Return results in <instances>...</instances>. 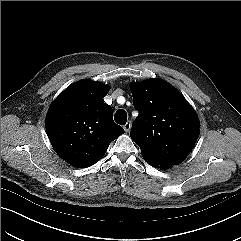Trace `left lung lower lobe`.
<instances>
[{"mask_svg": "<svg viewBox=\"0 0 241 241\" xmlns=\"http://www.w3.org/2000/svg\"><path fill=\"white\" fill-rule=\"evenodd\" d=\"M147 162H149V164L155 168H160V169H167V168H170L171 165L169 164H165V163H160L156 160H152V159H148V158H145L143 157Z\"/></svg>", "mask_w": 241, "mask_h": 241, "instance_id": "obj_1", "label": "left lung lower lobe"}]
</instances>
